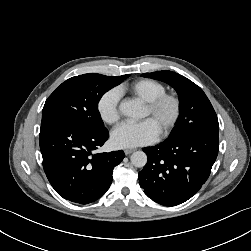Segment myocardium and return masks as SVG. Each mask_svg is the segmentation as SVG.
Listing matches in <instances>:
<instances>
[{
	"instance_id": "1",
	"label": "myocardium",
	"mask_w": 251,
	"mask_h": 251,
	"mask_svg": "<svg viewBox=\"0 0 251 251\" xmlns=\"http://www.w3.org/2000/svg\"><path fill=\"white\" fill-rule=\"evenodd\" d=\"M166 104L170 105L171 113L159 131L161 137L167 136L177 124L182 110L181 100L177 95L165 92L145 104L151 115L157 114Z\"/></svg>"
}]
</instances>
